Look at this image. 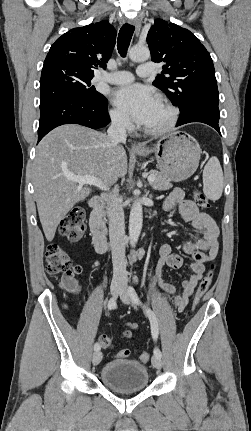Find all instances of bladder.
<instances>
[{"mask_svg":"<svg viewBox=\"0 0 251 431\" xmlns=\"http://www.w3.org/2000/svg\"><path fill=\"white\" fill-rule=\"evenodd\" d=\"M149 377L146 366L128 359L112 360L100 371L101 382L118 393H134L145 389Z\"/></svg>","mask_w":251,"mask_h":431,"instance_id":"31cf9c89","label":"bladder"}]
</instances>
